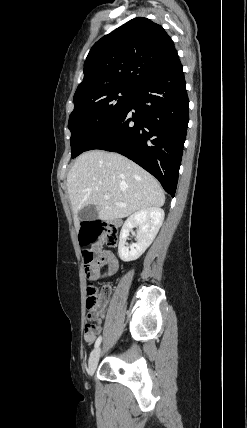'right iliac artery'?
Wrapping results in <instances>:
<instances>
[{"instance_id": "1", "label": "right iliac artery", "mask_w": 247, "mask_h": 428, "mask_svg": "<svg viewBox=\"0 0 247 428\" xmlns=\"http://www.w3.org/2000/svg\"><path fill=\"white\" fill-rule=\"evenodd\" d=\"M101 340H102V338H101V336H99V337L97 338L96 342H95V345H94V347H95V348H98V346H99V345H100V343H101Z\"/></svg>"}]
</instances>
